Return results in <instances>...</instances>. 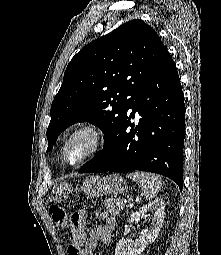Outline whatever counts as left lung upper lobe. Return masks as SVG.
<instances>
[{
    "mask_svg": "<svg viewBox=\"0 0 221 255\" xmlns=\"http://www.w3.org/2000/svg\"><path fill=\"white\" fill-rule=\"evenodd\" d=\"M166 51L142 20L128 21L84 46L69 62L52 102L47 151L62 131L84 121L102 130L105 145Z\"/></svg>",
    "mask_w": 221,
    "mask_h": 255,
    "instance_id": "obj_1",
    "label": "left lung upper lobe"
}]
</instances>
